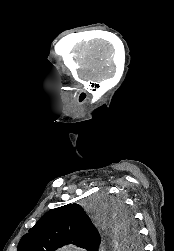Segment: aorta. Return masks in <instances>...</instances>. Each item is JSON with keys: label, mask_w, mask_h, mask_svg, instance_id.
<instances>
[{"label": "aorta", "mask_w": 174, "mask_h": 251, "mask_svg": "<svg viewBox=\"0 0 174 251\" xmlns=\"http://www.w3.org/2000/svg\"><path fill=\"white\" fill-rule=\"evenodd\" d=\"M112 232H113L114 234H116V231H115L114 229L112 230Z\"/></svg>", "instance_id": "762f6f07"}]
</instances>
